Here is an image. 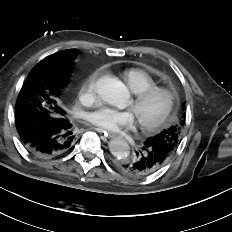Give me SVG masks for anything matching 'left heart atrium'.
Returning a JSON list of instances; mask_svg holds the SVG:
<instances>
[{"instance_id":"obj_1","label":"left heart atrium","mask_w":232,"mask_h":232,"mask_svg":"<svg viewBox=\"0 0 232 232\" xmlns=\"http://www.w3.org/2000/svg\"><path fill=\"white\" fill-rule=\"evenodd\" d=\"M86 120L93 126L109 131L120 132L130 129L135 123V116L130 110H117L99 107L86 114Z\"/></svg>"}]
</instances>
